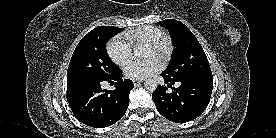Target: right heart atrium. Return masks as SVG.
Instances as JSON below:
<instances>
[{
  "mask_svg": "<svg viewBox=\"0 0 276 138\" xmlns=\"http://www.w3.org/2000/svg\"><path fill=\"white\" fill-rule=\"evenodd\" d=\"M107 53L113 62L124 66L132 57V47L122 36L117 35L109 40Z\"/></svg>",
  "mask_w": 276,
  "mask_h": 138,
  "instance_id": "right-heart-atrium-1",
  "label": "right heart atrium"
}]
</instances>
